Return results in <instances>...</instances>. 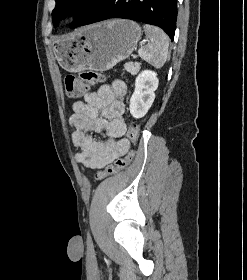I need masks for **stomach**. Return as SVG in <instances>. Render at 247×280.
<instances>
[{"label": "stomach", "mask_w": 247, "mask_h": 280, "mask_svg": "<svg viewBox=\"0 0 247 280\" xmlns=\"http://www.w3.org/2000/svg\"><path fill=\"white\" fill-rule=\"evenodd\" d=\"M141 27L116 19L78 29L55 45L58 61L69 72L106 71L127 59L141 38Z\"/></svg>", "instance_id": "obj_1"}]
</instances>
